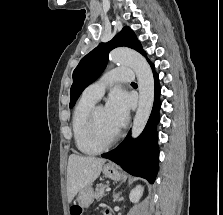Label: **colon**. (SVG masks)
Returning a JSON list of instances; mask_svg holds the SVG:
<instances>
[{
    "mask_svg": "<svg viewBox=\"0 0 223 215\" xmlns=\"http://www.w3.org/2000/svg\"><path fill=\"white\" fill-rule=\"evenodd\" d=\"M71 214L72 215H80L81 214V209L78 206H74L71 208Z\"/></svg>",
    "mask_w": 223,
    "mask_h": 215,
    "instance_id": "5ec220e1",
    "label": "colon"
}]
</instances>
